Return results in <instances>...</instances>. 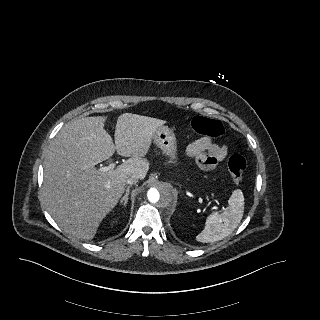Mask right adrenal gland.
Masks as SVG:
<instances>
[{"instance_id":"obj_1","label":"right adrenal gland","mask_w":320,"mask_h":320,"mask_svg":"<svg viewBox=\"0 0 320 320\" xmlns=\"http://www.w3.org/2000/svg\"><path fill=\"white\" fill-rule=\"evenodd\" d=\"M132 185H129L126 189V193L125 195L121 198L120 200V205H126L127 202H128V196H129V192H130V188H131Z\"/></svg>"}]
</instances>
